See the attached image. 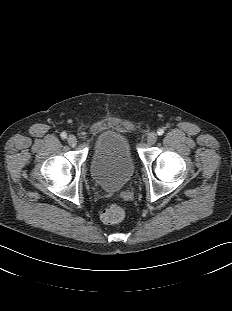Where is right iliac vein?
Here are the masks:
<instances>
[{
    "label": "right iliac vein",
    "mask_w": 232,
    "mask_h": 311,
    "mask_svg": "<svg viewBox=\"0 0 232 311\" xmlns=\"http://www.w3.org/2000/svg\"><path fill=\"white\" fill-rule=\"evenodd\" d=\"M67 142H68V144H69L71 147H75L76 144H77V139H76L75 136L70 135V136L67 138Z\"/></svg>",
    "instance_id": "right-iliac-vein-1"
}]
</instances>
